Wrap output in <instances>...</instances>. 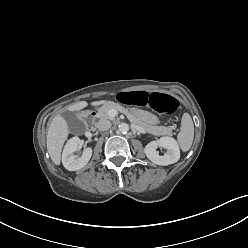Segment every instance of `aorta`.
Listing matches in <instances>:
<instances>
[{
  "label": "aorta",
  "instance_id": "762f6f07",
  "mask_svg": "<svg viewBox=\"0 0 248 248\" xmlns=\"http://www.w3.org/2000/svg\"><path fill=\"white\" fill-rule=\"evenodd\" d=\"M118 129L120 132L122 133H127L129 131V126L127 123H121L119 126H118Z\"/></svg>",
  "mask_w": 248,
  "mask_h": 248
}]
</instances>
